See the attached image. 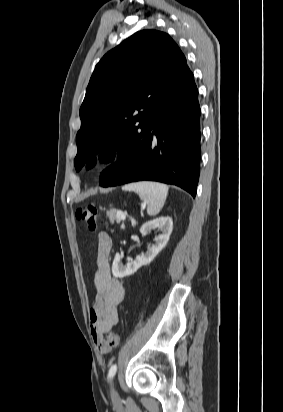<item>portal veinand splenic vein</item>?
I'll list each match as a JSON object with an SVG mask.
<instances>
[{"label":"portal vein and splenic vein","instance_id":"obj_1","mask_svg":"<svg viewBox=\"0 0 283 412\" xmlns=\"http://www.w3.org/2000/svg\"><path fill=\"white\" fill-rule=\"evenodd\" d=\"M117 217H118L120 220H125V219H126V214H124L122 211L118 210V211H117Z\"/></svg>","mask_w":283,"mask_h":412}]
</instances>
